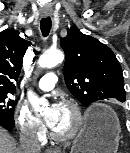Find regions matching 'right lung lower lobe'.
I'll return each mask as SVG.
<instances>
[{"mask_svg":"<svg viewBox=\"0 0 130 153\" xmlns=\"http://www.w3.org/2000/svg\"><path fill=\"white\" fill-rule=\"evenodd\" d=\"M0 126L4 127L8 131H11L14 127V123L7 121L6 119L0 117Z\"/></svg>","mask_w":130,"mask_h":153,"instance_id":"98d812e1","label":"right lung lower lobe"}]
</instances>
